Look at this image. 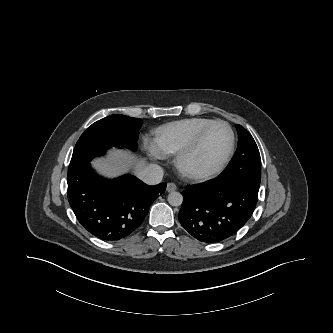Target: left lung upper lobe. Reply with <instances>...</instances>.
Instances as JSON below:
<instances>
[{
	"label": "left lung upper lobe",
	"instance_id": "5c2ea615",
	"mask_svg": "<svg viewBox=\"0 0 333 333\" xmlns=\"http://www.w3.org/2000/svg\"><path fill=\"white\" fill-rule=\"evenodd\" d=\"M238 148L233 160L220 178H238L259 188L261 180V158L251 134L241 125H236Z\"/></svg>",
	"mask_w": 333,
	"mask_h": 333
}]
</instances>
